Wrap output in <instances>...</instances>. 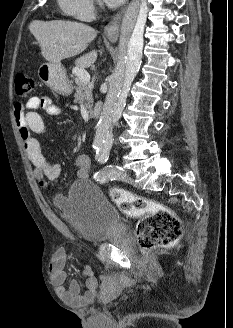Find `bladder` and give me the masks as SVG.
Instances as JSON below:
<instances>
[{
  "label": "bladder",
  "mask_w": 233,
  "mask_h": 328,
  "mask_svg": "<svg viewBox=\"0 0 233 328\" xmlns=\"http://www.w3.org/2000/svg\"><path fill=\"white\" fill-rule=\"evenodd\" d=\"M54 204L72 229L88 242H103L118 233L128 236L119 212L92 181H75L66 194L54 198Z\"/></svg>",
  "instance_id": "bladder-1"
}]
</instances>
